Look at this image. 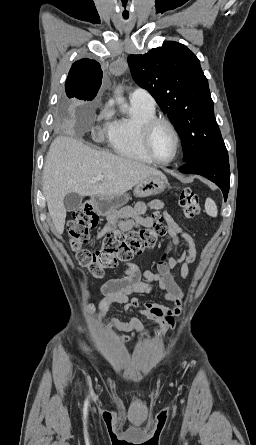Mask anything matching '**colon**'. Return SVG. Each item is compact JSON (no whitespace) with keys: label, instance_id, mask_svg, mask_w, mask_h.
Instances as JSON below:
<instances>
[{"label":"colon","instance_id":"5ec220e1","mask_svg":"<svg viewBox=\"0 0 256 445\" xmlns=\"http://www.w3.org/2000/svg\"><path fill=\"white\" fill-rule=\"evenodd\" d=\"M179 205L184 218H193L200 212L198 195L183 189ZM99 217L93 210L91 201H86L74 212L68 226L70 244L80 264L97 279L103 277L104 269L113 268L120 262H128L133 257L153 249L166 233V226L159 214H155L150 226L129 232H108L100 249L91 251L84 248L90 238V232L98 226Z\"/></svg>","mask_w":256,"mask_h":445}]
</instances>
